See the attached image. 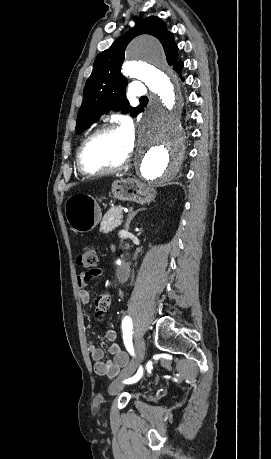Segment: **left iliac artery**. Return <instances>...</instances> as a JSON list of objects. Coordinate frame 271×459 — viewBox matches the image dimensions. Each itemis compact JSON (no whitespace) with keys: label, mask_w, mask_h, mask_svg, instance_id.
Instances as JSON below:
<instances>
[{"label":"left iliac artery","mask_w":271,"mask_h":459,"mask_svg":"<svg viewBox=\"0 0 271 459\" xmlns=\"http://www.w3.org/2000/svg\"><path fill=\"white\" fill-rule=\"evenodd\" d=\"M122 329H123L122 333H123V340H124L125 347H126L127 351L132 356H134V349H133V345H132V336H131L132 333H133V325H132V320H131L130 317H128V316L124 317V319L122 321ZM143 373H144V370L141 369V366H140L139 371L135 372L134 377H132L130 380L124 381L125 385L126 386H134L135 382H139L140 381L139 377H142Z\"/></svg>","instance_id":"44dca946"}]
</instances>
